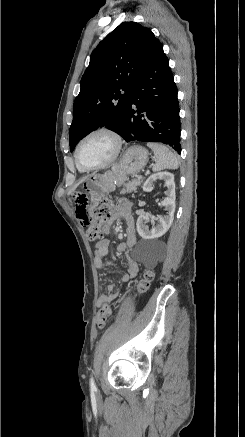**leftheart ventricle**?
<instances>
[{
    "instance_id": "obj_1",
    "label": "left heart ventricle",
    "mask_w": 245,
    "mask_h": 437,
    "mask_svg": "<svg viewBox=\"0 0 245 437\" xmlns=\"http://www.w3.org/2000/svg\"><path fill=\"white\" fill-rule=\"evenodd\" d=\"M113 151V139L105 134H96L81 145L79 157L83 164L92 166L105 162Z\"/></svg>"
}]
</instances>
